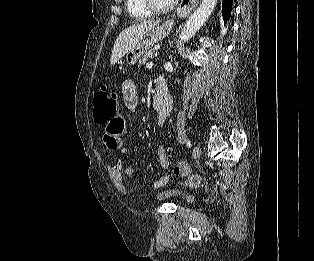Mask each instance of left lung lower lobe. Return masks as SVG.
<instances>
[{"mask_svg": "<svg viewBox=\"0 0 314 261\" xmlns=\"http://www.w3.org/2000/svg\"><path fill=\"white\" fill-rule=\"evenodd\" d=\"M232 7H233V0H223L222 16L225 23L230 19Z\"/></svg>", "mask_w": 314, "mask_h": 261, "instance_id": "1", "label": "left lung lower lobe"}]
</instances>
